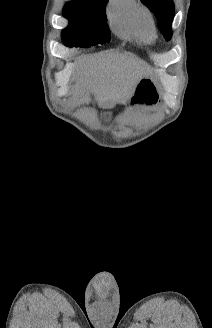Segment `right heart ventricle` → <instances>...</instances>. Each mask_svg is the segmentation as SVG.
Masks as SVG:
<instances>
[{
    "instance_id": "1",
    "label": "right heart ventricle",
    "mask_w": 212,
    "mask_h": 328,
    "mask_svg": "<svg viewBox=\"0 0 212 328\" xmlns=\"http://www.w3.org/2000/svg\"><path fill=\"white\" fill-rule=\"evenodd\" d=\"M108 18L112 28L122 36L152 37L153 29L144 20L137 0H111Z\"/></svg>"
}]
</instances>
